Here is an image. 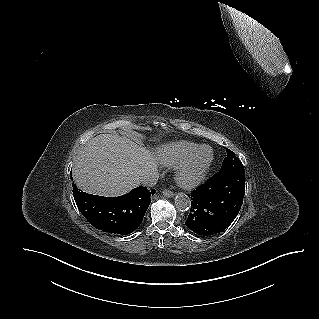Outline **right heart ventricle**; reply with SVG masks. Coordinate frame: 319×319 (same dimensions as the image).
Here are the masks:
<instances>
[{"instance_id":"1","label":"right heart ventricle","mask_w":319,"mask_h":319,"mask_svg":"<svg viewBox=\"0 0 319 319\" xmlns=\"http://www.w3.org/2000/svg\"><path fill=\"white\" fill-rule=\"evenodd\" d=\"M200 145L194 142L179 141L163 146L159 151L161 162L168 167H177Z\"/></svg>"}]
</instances>
